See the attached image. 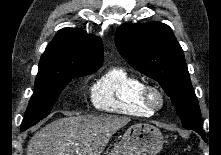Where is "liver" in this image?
I'll use <instances>...</instances> for the list:
<instances>
[{
    "instance_id": "6515ba94",
    "label": "liver",
    "mask_w": 221,
    "mask_h": 155,
    "mask_svg": "<svg viewBox=\"0 0 221 155\" xmlns=\"http://www.w3.org/2000/svg\"><path fill=\"white\" fill-rule=\"evenodd\" d=\"M129 122L112 115L60 118L33 135L26 155H101L112 135Z\"/></svg>"
}]
</instances>
